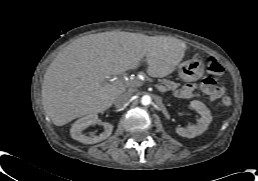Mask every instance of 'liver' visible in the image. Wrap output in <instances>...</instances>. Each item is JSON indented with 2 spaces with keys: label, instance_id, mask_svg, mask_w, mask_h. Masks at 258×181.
<instances>
[{
  "label": "liver",
  "instance_id": "6515ba94",
  "mask_svg": "<svg viewBox=\"0 0 258 181\" xmlns=\"http://www.w3.org/2000/svg\"><path fill=\"white\" fill-rule=\"evenodd\" d=\"M184 42L167 36L104 32L77 39L61 51L44 74L41 96L56 126L112 106L125 86L104 83L109 75L135 69L144 59L147 74H171L184 57Z\"/></svg>",
  "mask_w": 258,
  "mask_h": 181
}]
</instances>
